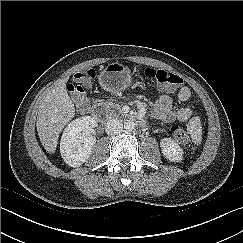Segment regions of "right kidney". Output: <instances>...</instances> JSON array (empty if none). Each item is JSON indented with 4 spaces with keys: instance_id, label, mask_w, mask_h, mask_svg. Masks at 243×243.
I'll use <instances>...</instances> for the list:
<instances>
[{
    "instance_id": "1",
    "label": "right kidney",
    "mask_w": 243,
    "mask_h": 243,
    "mask_svg": "<svg viewBox=\"0 0 243 243\" xmlns=\"http://www.w3.org/2000/svg\"><path fill=\"white\" fill-rule=\"evenodd\" d=\"M97 126L95 118L83 116L70 122L64 129L60 141V153L64 162L79 167L90 157L96 139L90 133Z\"/></svg>"
}]
</instances>
